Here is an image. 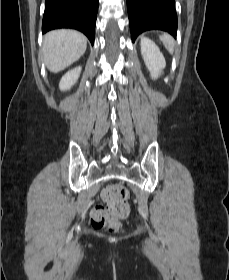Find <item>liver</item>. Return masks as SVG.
I'll return each instance as SVG.
<instances>
[{"label":"liver","mask_w":229,"mask_h":280,"mask_svg":"<svg viewBox=\"0 0 229 280\" xmlns=\"http://www.w3.org/2000/svg\"><path fill=\"white\" fill-rule=\"evenodd\" d=\"M86 47L87 38L78 31H50L44 36V62L51 72H60L76 62L84 54Z\"/></svg>","instance_id":"6515ba94"}]
</instances>
